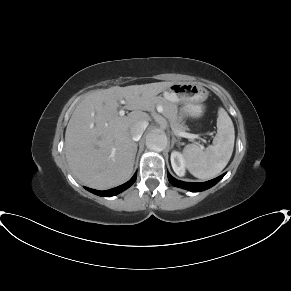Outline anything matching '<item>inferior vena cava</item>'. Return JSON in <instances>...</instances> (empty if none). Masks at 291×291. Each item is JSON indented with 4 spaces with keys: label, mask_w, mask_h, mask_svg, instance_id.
Returning <instances> with one entry per match:
<instances>
[{
    "label": "inferior vena cava",
    "mask_w": 291,
    "mask_h": 291,
    "mask_svg": "<svg viewBox=\"0 0 291 291\" xmlns=\"http://www.w3.org/2000/svg\"><path fill=\"white\" fill-rule=\"evenodd\" d=\"M148 126V122H138L130 127V134L132 136L133 141L140 140L143 132Z\"/></svg>",
    "instance_id": "obj_1"
}]
</instances>
